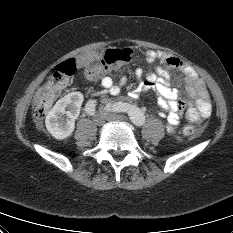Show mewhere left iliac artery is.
Returning <instances> with one entry per match:
<instances>
[{
	"label": "left iliac artery",
	"instance_id": "44dca946",
	"mask_svg": "<svg viewBox=\"0 0 233 233\" xmlns=\"http://www.w3.org/2000/svg\"><path fill=\"white\" fill-rule=\"evenodd\" d=\"M106 108L107 110L112 112L128 113L129 118L136 126H142L145 123V116L143 112L139 108L130 105L128 103H124V102H118L114 104L109 103L107 104Z\"/></svg>",
	"mask_w": 233,
	"mask_h": 233
}]
</instances>
